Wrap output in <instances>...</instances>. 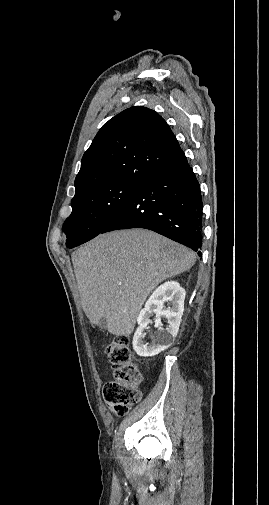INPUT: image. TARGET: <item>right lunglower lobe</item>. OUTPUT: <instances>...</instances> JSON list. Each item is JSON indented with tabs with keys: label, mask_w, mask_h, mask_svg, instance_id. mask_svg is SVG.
<instances>
[{
	"label": "right lung lower lobe",
	"mask_w": 269,
	"mask_h": 505,
	"mask_svg": "<svg viewBox=\"0 0 269 505\" xmlns=\"http://www.w3.org/2000/svg\"><path fill=\"white\" fill-rule=\"evenodd\" d=\"M203 203L185 155L150 175L101 233L146 228L201 255Z\"/></svg>",
	"instance_id": "obj_1"
}]
</instances>
